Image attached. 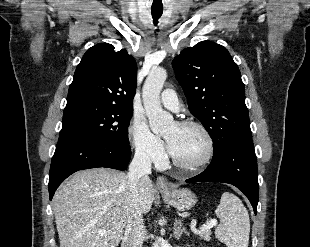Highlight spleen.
Here are the masks:
<instances>
[{"label": "spleen", "mask_w": 310, "mask_h": 247, "mask_svg": "<svg viewBox=\"0 0 310 247\" xmlns=\"http://www.w3.org/2000/svg\"><path fill=\"white\" fill-rule=\"evenodd\" d=\"M215 213L221 223L215 229L216 238L227 247H248L250 219L241 200L224 192Z\"/></svg>", "instance_id": "3e777b00"}]
</instances>
